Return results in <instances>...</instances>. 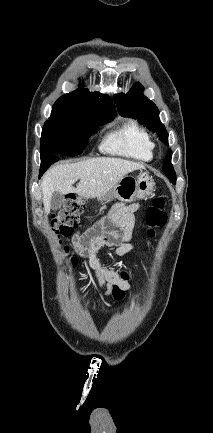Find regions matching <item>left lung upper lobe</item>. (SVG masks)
Masks as SVG:
<instances>
[{"label":"left lung upper lobe","mask_w":213,"mask_h":433,"mask_svg":"<svg viewBox=\"0 0 213 433\" xmlns=\"http://www.w3.org/2000/svg\"><path fill=\"white\" fill-rule=\"evenodd\" d=\"M144 87L136 83L127 94H116L114 96L118 111L124 117L137 119L151 131L156 132L161 140L168 145V133L165 126L160 122L159 110L156 105L143 95ZM172 153H167L163 164V171L173 184L176 183V174L171 164Z\"/></svg>","instance_id":"left-lung-upper-lobe-1"}]
</instances>
